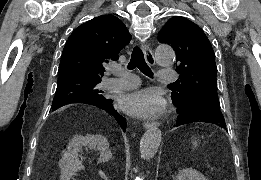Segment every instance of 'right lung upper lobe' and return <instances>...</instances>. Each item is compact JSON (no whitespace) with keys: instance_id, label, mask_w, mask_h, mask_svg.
<instances>
[{"instance_id":"obj_1","label":"right lung upper lobe","mask_w":261,"mask_h":180,"mask_svg":"<svg viewBox=\"0 0 261 180\" xmlns=\"http://www.w3.org/2000/svg\"><path fill=\"white\" fill-rule=\"evenodd\" d=\"M131 35L120 19L102 15L80 25L63 49L58 82L101 80L105 63L118 59Z\"/></svg>"}]
</instances>
